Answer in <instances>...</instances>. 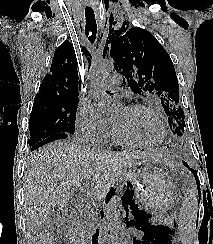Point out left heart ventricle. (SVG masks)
Returning <instances> with one entry per match:
<instances>
[{
    "mask_svg": "<svg viewBox=\"0 0 213 244\" xmlns=\"http://www.w3.org/2000/svg\"><path fill=\"white\" fill-rule=\"evenodd\" d=\"M112 123L121 135L132 141L153 144L162 136L158 121L146 110L121 108L113 117Z\"/></svg>",
    "mask_w": 213,
    "mask_h": 244,
    "instance_id": "1",
    "label": "left heart ventricle"
}]
</instances>
